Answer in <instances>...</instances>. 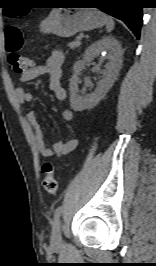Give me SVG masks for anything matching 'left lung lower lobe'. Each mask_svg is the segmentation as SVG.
Wrapping results in <instances>:
<instances>
[{
    "instance_id": "0a47b994",
    "label": "left lung lower lobe",
    "mask_w": 156,
    "mask_h": 266,
    "mask_svg": "<svg viewBox=\"0 0 156 266\" xmlns=\"http://www.w3.org/2000/svg\"><path fill=\"white\" fill-rule=\"evenodd\" d=\"M76 6L100 8L103 12L122 20L139 38L142 25L140 0H67ZM63 3V4H65Z\"/></svg>"
}]
</instances>
